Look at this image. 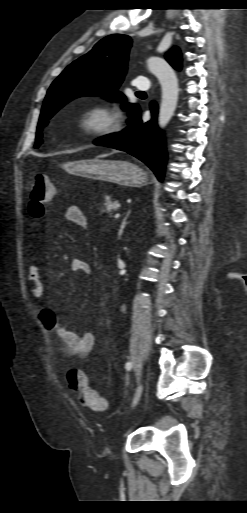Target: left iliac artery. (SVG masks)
<instances>
[{
  "instance_id": "1",
  "label": "left iliac artery",
  "mask_w": 247,
  "mask_h": 513,
  "mask_svg": "<svg viewBox=\"0 0 247 513\" xmlns=\"http://www.w3.org/2000/svg\"><path fill=\"white\" fill-rule=\"evenodd\" d=\"M125 368L129 371L132 369V363L131 362H127L126 365H125Z\"/></svg>"
}]
</instances>
